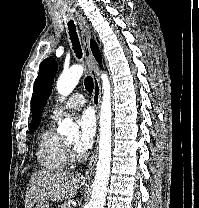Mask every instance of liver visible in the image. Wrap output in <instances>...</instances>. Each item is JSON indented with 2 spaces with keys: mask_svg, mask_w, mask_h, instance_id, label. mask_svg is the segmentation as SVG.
<instances>
[{
  "mask_svg": "<svg viewBox=\"0 0 199 208\" xmlns=\"http://www.w3.org/2000/svg\"><path fill=\"white\" fill-rule=\"evenodd\" d=\"M80 183V174L63 171H35L25 195V208H32L39 201H66L72 199Z\"/></svg>",
  "mask_w": 199,
  "mask_h": 208,
  "instance_id": "liver-1",
  "label": "liver"
}]
</instances>
